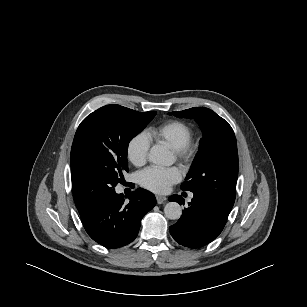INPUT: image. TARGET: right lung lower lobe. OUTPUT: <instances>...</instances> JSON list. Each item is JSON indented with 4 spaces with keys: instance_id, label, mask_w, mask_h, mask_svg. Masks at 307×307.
Here are the masks:
<instances>
[{
    "instance_id": "98d812e1",
    "label": "right lung lower lobe",
    "mask_w": 307,
    "mask_h": 307,
    "mask_svg": "<svg viewBox=\"0 0 307 307\" xmlns=\"http://www.w3.org/2000/svg\"><path fill=\"white\" fill-rule=\"evenodd\" d=\"M156 205L155 196L138 188L125 201L115 191L80 214L88 235L107 248L131 243L137 236L143 216Z\"/></svg>"
}]
</instances>
